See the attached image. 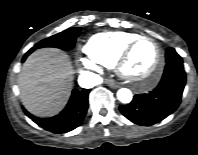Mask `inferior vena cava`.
I'll return each instance as SVG.
<instances>
[{
    "instance_id": "1",
    "label": "inferior vena cava",
    "mask_w": 198,
    "mask_h": 155,
    "mask_svg": "<svg viewBox=\"0 0 198 155\" xmlns=\"http://www.w3.org/2000/svg\"><path fill=\"white\" fill-rule=\"evenodd\" d=\"M79 82L81 85L88 83L90 86H95L102 82V78L92 72L85 71L79 77Z\"/></svg>"
}]
</instances>
